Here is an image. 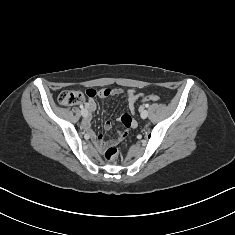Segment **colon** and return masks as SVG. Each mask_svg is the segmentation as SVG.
I'll use <instances>...</instances> for the list:
<instances>
[{
    "instance_id": "obj_1",
    "label": "colon",
    "mask_w": 235,
    "mask_h": 235,
    "mask_svg": "<svg viewBox=\"0 0 235 235\" xmlns=\"http://www.w3.org/2000/svg\"><path fill=\"white\" fill-rule=\"evenodd\" d=\"M108 90L109 89L97 90L95 88H89L84 93L77 90L64 91L60 93L58 102L63 106H72L81 102L85 96L89 98H93L97 95L102 96L107 94ZM141 100L144 102H158L160 97L155 94H149L142 97ZM120 121L125 128V131L120 136V138H123L126 136L127 130L134 124V122L129 114H123L120 118ZM118 139L119 138L111 139L105 144L104 157L108 162L114 161L119 155V150L116 146V141Z\"/></svg>"
}]
</instances>
